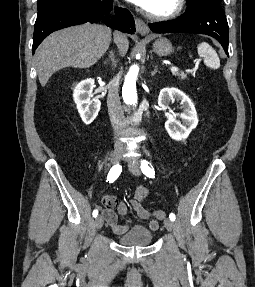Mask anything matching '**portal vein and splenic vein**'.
I'll list each match as a JSON object with an SVG mask.
<instances>
[{
	"instance_id": "portal-vein-and-splenic-vein-1",
	"label": "portal vein and splenic vein",
	"mask_w": 255,
	"mask_h": 287,
	"mask_svg": "<svg viewBox=\"0 0 255 287\" xmlns=\"http://www.w3.org/2000/svg\"><path fill=\"white\" fill-rule=\"evenodd\" d=\"M171 72H178L179 68H174V66H172V68H170Z\"/></svg>"
}]
</instances>
